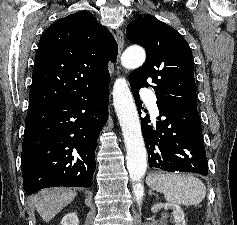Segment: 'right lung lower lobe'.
Masks as SVG:
<instances>
[{
	"mask_svg": "<svg viewBox=\"0 0 237 225\" xmlns=\"http://www.w3.org/2000/svg\"><path fill=\"white\" fill-rule=\"evenodd\" d=\"M108 85L28 108L21 156L26 194L92 185L97 138L108 117Z\"/></svg>",
	"mask_w": 237,
	"mask_h": 225,
	"instance_id": "98d812e1",
	"label": "right lung lower lobe"
}]
</instances>
